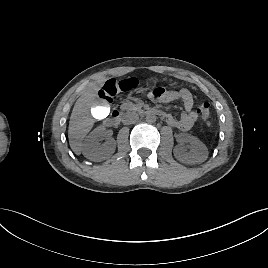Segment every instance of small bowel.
I'll return each mask as SVG.
<instances>
[{"instance_id":"small-bowel-1","label":"small bowel","mask_w":268,"mask_h":268,"mask_svg":"<svg viewBox=\"0 0 268 268\" xmlns=\"http://www.w3.org/2000/svg\"><path fill=\"white\" fill-rule=\"evenodd\" d=\"M148 98L154 102L162 103H170L178 100L184 109L180 118L177 119L171 114H164V117L170 126L182 131L190 130L198 118V113L193 109V96L187 89L164 91L162 88H157L148 94Z\"/></svg>"}]
</instances>
